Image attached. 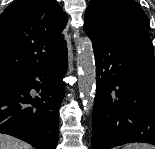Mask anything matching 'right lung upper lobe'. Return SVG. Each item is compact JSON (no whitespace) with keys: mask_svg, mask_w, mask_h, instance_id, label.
Wrapping results in <instances>:
<instances>
[{"mask_svg":"<svg viewBox=\"0 0 155 149\" xmlns=\"http://www.w3.org/2000/svg\"><path fill=\"white\" fill-rule=\"evenodd\" d=\"M68 17L55 0H15L0 15V70L27 74L67 53Z\"/></svg>","mask_w":155,"mask_h":149,"instance_id":"right-lung-upper-lobe-1","label":"right lung upper lobe"}]
</instances>
